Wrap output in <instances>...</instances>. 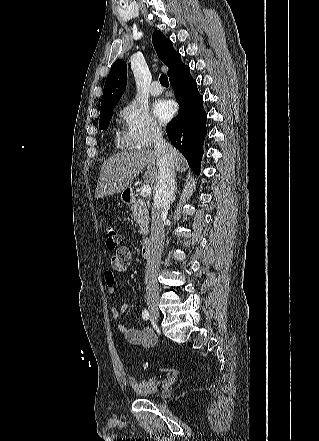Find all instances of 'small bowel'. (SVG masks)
I'll return each mask as SVG.
<instances>
[{"instance_id": "c3829d8e", "label": "small bowel", "mask_w": 319, "mask_h": 441, "mask_svg": "<svg viewBox=\"0 0 319 441\" xmlns=\"http://www.w3.org/2000/svg\"><path fill=\"white\" fill-rule=\"evenodd\" d=\"M131 258V253L125 246L120 247L115 255L111 257V267L113 270L104 272V281L109 295H114L115 293L114 272L126 271L130 266ZM128 309L129 305L127 303L122 304L120 307L112 306L110 309L111 315L115 319L117 327L122 335L132 345L142 346L144 348L154 346L156 343V335L151 328L146 327L144 329H138L128 327L121 322L123 315Z\"/></svg>"}]
</instances>
